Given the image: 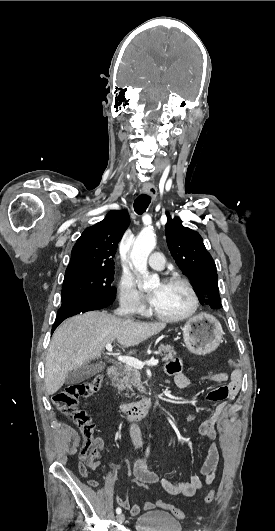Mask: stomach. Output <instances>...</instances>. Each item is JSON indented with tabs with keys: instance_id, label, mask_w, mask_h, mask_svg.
Listing matches in <instances>:
<instances>
[{
	"instance_id": "1",
	"label": "stomach",
	"mask_w": 275,
	"mask_h": 531,
	"mask_svg": "<svg viewBox=\"0 0 275 531\" xmlns=\"http://www.w3.org/2000/svg\"><path fill=\"white\" fill-rule=\"evenodd\" d=\"M221 323L207 313L188 319L183 327L184 343L195 355H208L219 347L223 339Z\"/></svg>"
}]
</instances>
